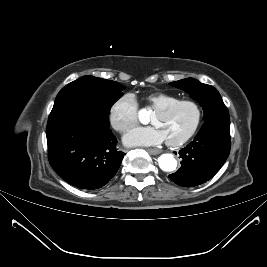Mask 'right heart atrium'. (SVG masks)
<instances>
[{"instance_id":"d8ad5b80","label":"right heart atrium","mask_w":267,"mask_h":267,"mask_svg":"<svg viewBox=\"0 0 267 267\" xmlns=\"http://www.w3.org/2000/svg\"><path fill=\"white\" fill-rule=\"evenodd\" d=\"M139 105L132 93L119 96L109 108L111 126L120 133H125L138 123Z\"/></svg>"}]
</instances>
